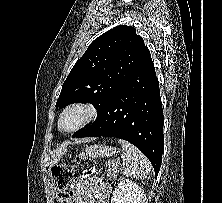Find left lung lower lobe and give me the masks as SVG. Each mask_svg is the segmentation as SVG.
Listing matches in <instances>:
<instances>
[{
  "label": "left lung lower lobe",
  "instance_id": "1",
  "mask_svg": "<svg viewBox=\"0 0 222 203\" xmlns=\"http://www.w3.org/2000/svg\"><path fill=\"white\" fill-rule=\"evenodd\" d=\"M108 136L135 145L150 160L157 176L164 146L159 82L149 50L112 94L96 121L76 138Z\"/></svg>",
  "mask_w": 222,
  "mask_h": 203
}]
</instances>
